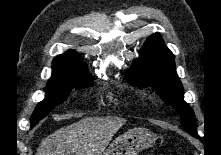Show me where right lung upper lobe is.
Masks as SVG:
<instances>
[{
  "instance_id": "right-lung-upper-lobe-1",
  "label": "right lung upper lobe",
  "mask_w": 221,
  "mask_h": 155,
  "mask_svg": "<svg viewBox=\"0 0 221 155\" xmlns=\"http://www.w3.org/2000/svg\"><path fill=\"white\" fill-rule=\"evenodd\" d=\"M77 70H87V67L75 51L71 50L59 55L53 61V74H64Z\"/></svg>"
}]
</instances>
